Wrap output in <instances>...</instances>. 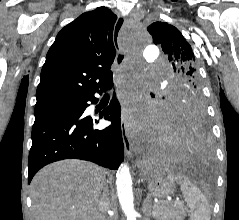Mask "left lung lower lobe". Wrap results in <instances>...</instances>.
Listing matches in <instances>:
<instances>
[{"instance_id": "left-lung-lower-lobe-1", "label": "left lung lower lobe", "mask_w": 239, "mask_h": 220, "mask_svg": "<svg viewBox=\"0 0 239 220\" xmlns=\"http://www.w3.org/2000/svg\"><path fill=\"white\" fill-rule=\"evenodd\" d=\"M168 121L172 139L169 153L161 159V163L197 165L212 157L209 128L203 109L195 108L187 112L169 110Z\"/></svg>"}]
</instances>
